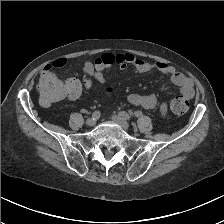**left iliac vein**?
Masks as SVG:
<instances>
[{"label":"left iliac vein","instance_id":"obj_1","mask_svg":"<svg viewBox=\"0 0 224 224\" xmlns=\"http://www.w3.org/2000/svg\"><path fill=\"white\" fill-rule=\"evenodd\" d=\"M113 121H115L117 124H119L123 129L128 130L130 125L129 123L123 119L122 117H120L119 115H114L112 117Z\"/></svg>","mask_w":224,"mask_h":224}]
</instances>
